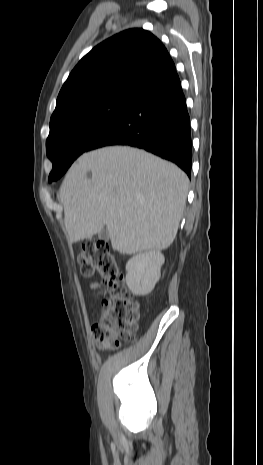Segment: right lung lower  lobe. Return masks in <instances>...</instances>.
Masks as SVG:
<instances>
[{"label": "right lung lower lobe", "instance_id": "98d812e1", "mask_svg": "<svg viewBox=\"0 0 263 465\" xmlns=\"http://www.w3.org/2000/svg\"><path fill=\"white\" fill-rule=\"evenodd\" d=\"M129 145L170 160L191 175L190 118L178 74L140 91L128 110L89 150Z\"/></svg>", "mask_w": 263, "mask_h": 465}]
</instances>
